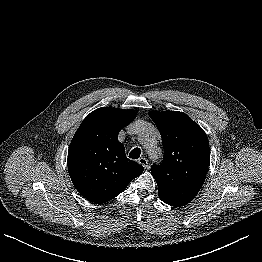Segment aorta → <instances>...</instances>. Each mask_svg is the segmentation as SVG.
<instances>
[{
  "mask_svg": "<svg viewBox=\"0 0 262 262\" xmlns=\"http://www.w3.org/2000/svg\"><path fill=\"white\" fill-rule=\"evenodd\" d=\"M148 155L151 159H155L156 156H155V152H154V149H148Z\"/></svg>",
  "mask_w": 262,
  "mask_h": 262,
  "instance_id": "obj_1",
  "label": "aorta"
}]
</instances>
